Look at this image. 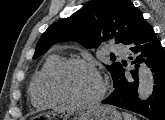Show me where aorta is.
<instances>
[{
	"label": "aorta",
	"mask_w": 165,
	"mask_h": 120,
	"mask_svg": "<svg viewBox=\"0 0 165 120\" xmlns=\"http://www.w3.org/2000/svg\"><path fill=\"white\" fill-rule=\"evenodd\" d=\"M138 80V97L141 100H145L152 94L154 79L151 70L144 63L139 67Z\"/></svg>",
	"instance_id": "obj_1"
}]
</instances>
